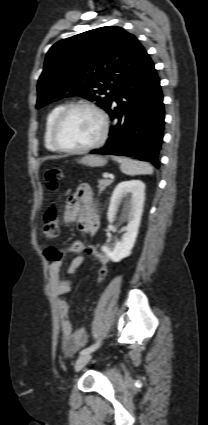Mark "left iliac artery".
I'll return each instance as SVG.
<instances>
[{
	"label": "left iliac artery",
	"mask_w": 208,
	"mask_h": 425,
	"mask_svg": "<svg viewBox=\"0 0 208 425\" xmlns=\"http://www.w3.org/2000/svg\"><path fill=\"white\" fill-rule=\"evenodd\" d=\"M100 346V340H98L95 344L91 345L88 348L83 349L80 354H86V353H91L92 351H94L95 349H97Z\"/></svg>",
	"instance_id": "1"
}]
</instances>
